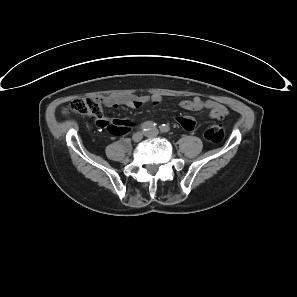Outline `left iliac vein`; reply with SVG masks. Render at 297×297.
Here are the masks:
<instances>
[{
  "mask_svg": "<svg viewBox=\"0 0 297 297\" xmlns=\"http://www.w3.org/2000/svg\"><path fill=\"white\" fill-rule=\"evenodd\" d=\"M157 130L156 129H152L148 132H145V136L147 137H153L154 135H156Z\"/></svg>",
  "mask_w": 297,
  "mask_h": 297,
  "instance_id": "left-iliac-vein-1",
  "label": "left iliac vein"
}]
</instances>
